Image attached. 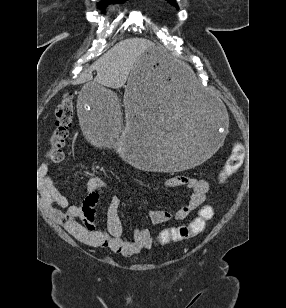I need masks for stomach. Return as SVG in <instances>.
<instances>
[{"mask_svg":"<svg viewBox=\"0 0 286 308\" xmlns=\"http://www.w3.org/2000/svg\"><path fill=\"white\" fill-rule=\"evenodd\" d=\"M187 65L178 51L146 50L131 70L124 104L110 85H83L75 110L77 124L88 129L85 137L95 149H114L112 133L133 132L125 137L120 158L144 173L171 177L182 168L206 164L219 144H227V112L221 96L202 86Z\"/></svg>","mask_w":286,"mask_h":308,"instance_id":"stomach-1","label":"stomach"}]
</instances>
